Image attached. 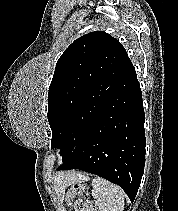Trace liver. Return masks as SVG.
Wrapping results in <instances>:
<instances>
[{
  "instance_id": "1",
  "label": "liver",
  "mask_w": 178,
  "mask_h": 211,
  "mask_svg": "<svg viewBox=\"0 0 178 211\" xmlns=\"http://www.w3.org/2000/svg\"><path fill=\"white\" fill-rule=\"evenodd\" d=\"M81 178L80 174H77L76 172H66L60 174L58 177L54 180V188L58 195H62L64 193L65 188L74 183L75 181L79 180Z\"/></svg>"
}]
</instances>
